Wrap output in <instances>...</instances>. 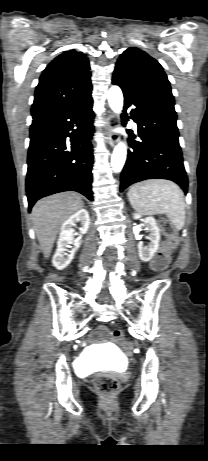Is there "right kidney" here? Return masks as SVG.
<instances>
[{"mask_svg":"<svg viewBox=\"0 0 208 461\" xmlns=\"http://www.w3.org/2000/svg\"><path fill=\"white\" fill-rule=\"evenodd\" d=\"M80 222V234L88 231L90 217L87 210L81 209L71 215L61 226L60 236L57 242V249L53 256L52 263L58 269L62 270L67 267L73 259L74 253L80 247L81 238L74 239L73 227ZM74 248L69 251L67 248Z\"/></svg>","mask_w":208,"mask_h":461,"instance_id":"ca27d5eb","label":"right kidney"}]
</instances>
